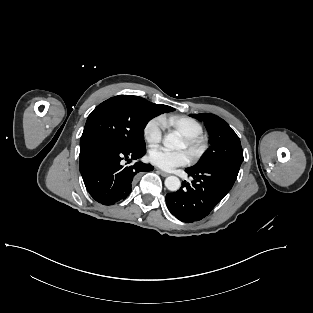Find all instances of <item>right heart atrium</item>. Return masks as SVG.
I'll list each match as a JSON object with an SVG mask.
<instances>
[{"label": "right heart atrium", "instance_id": "d8ad5b80", "mask_svg": "<svg viewBox=\"0 0 313 313\" xmlns=\"http://www.w3.org/2000/svg\"><path fill=\"white\" fill-rule=\"evenodd\" d=\"M163 129L164 122L161 117L150 119L143 129V136L145 141L151 146L159 144L162 140Z\"/></svg>", "mask_w": 313, "mask_h": 313}]
</instances>
